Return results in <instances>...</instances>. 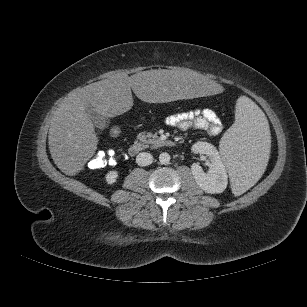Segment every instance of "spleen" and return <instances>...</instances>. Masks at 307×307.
Wrapping results in <instances>:
<instances>
[{
    "label": "spleen",
    "instance_id": "1",
    "mask_svg": "<svg viewBox=\"0 0 307 307\" xmlns=\"http://www.w3.org/2000/svg\"><path fill=\"white\" fill-rule=\"evenodd\" d=\"M235 122L220 141V153L238 196L267 168L271 157L269 125L262 110L248 97L236 102Z\"/></svg>",
    "mask_w": 307,
    "mask_h": 307
}]
</instances>
